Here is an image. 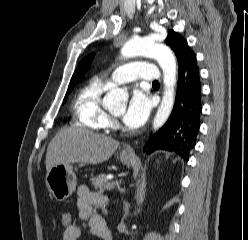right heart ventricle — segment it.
I'll use <instances>...</instances> for the list:
<instances>
[{"instance_id": "right-heart-ventricle-1", "label": "right heart ventricle", "mask_w": 248, "mask_h": 240, "mask_svg": "<svg viewBox=\"0 0 248 240\" xmlns=\"http://www.w3.org/2000/svg\"><path fill=\"white\" fill-rule=\"evenodd\" d=\"M106 88L105 83L92 79L80 90L73 104L77 125L91 130H102L109 126V117L101 102Z\"/></svg>"}]
</instances>
